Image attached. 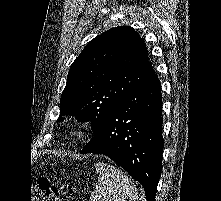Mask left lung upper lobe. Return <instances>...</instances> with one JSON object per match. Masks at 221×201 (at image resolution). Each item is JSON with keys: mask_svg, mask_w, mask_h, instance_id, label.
I'll return each instance as SVG.
<instances>
[{"mask_svg": "<svg viewBox=\"0 0 221 201\" xmlns=\"http://www.w3.org/2000/svg\"><path fill=\"white\" fill-rule=\"evenodd\" d=\"M152 74L140 35L127 26L109 29L92 39L71 65L60 115L90 121L96 133L118 102Z\"/></svg>", "mask_w": 221, "mask_h": 201, "instance_id": "left-lung-upper-lobe-1", "label": "left lung upper lobe"}]
</instances>
